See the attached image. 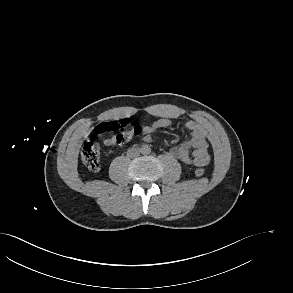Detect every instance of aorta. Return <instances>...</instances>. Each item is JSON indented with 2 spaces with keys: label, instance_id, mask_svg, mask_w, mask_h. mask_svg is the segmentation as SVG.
Here are the masks:
<instances>
[{
  "label": "aorta",
  "instance_id": "1",
  "mask_svg": "<svg viewBox=\"0 0 293 293\" xmlns=\"http://www.w3.org/2000/svg\"><path fill=\"white\" fill-rule=\"evenodd\" d=\"M150 151H151V150H150V147L147 146V145L143 146L142 149H141V152H142L143 154H149Z\"/></svg>",
  "mask_w": 293,
  "mask_h": 293
}]
</instances>
